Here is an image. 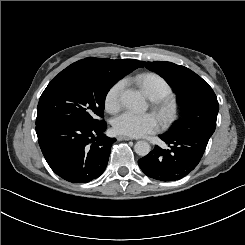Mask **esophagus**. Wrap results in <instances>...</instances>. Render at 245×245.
<instances>
[{"instance_id":"34e87169","label":"esophagus","mask_w":245,"mask_h":245,"mask_svg":"<svg viewBox=\"0 0 245 245\" xmlns=\"http://www.w3.org/2000/svg\"><path fill=\"white\" fill-rule=\"evenodd\" d=\"M117 140L122 141V140H132V138L128 137V136H117Z\"/></svg>"}]
</instances>
